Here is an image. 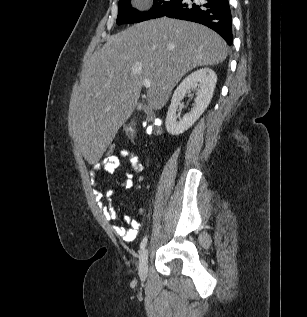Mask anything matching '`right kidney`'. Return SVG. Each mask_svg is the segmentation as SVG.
Segmentation results:
<instances>
[{"mask_svg":"<svg viewBox=\"0 0 307 317\" xmlns=\"http://www.w3.org/2000/svg\"><path fill=\"white\" fill-rule=\"evenodd\" d=\"M217 76L210 68H202L188 75L174 91L169 106L165 126L171 135H179L188 130L208 107L215 89ZM196 90L195 105L180 119L176 112L185 95Z\"/></svg>","mask_w":307,"mask_h":317,"instance_id":"ca27d5eb","label":"right kidney"}]
</instances>
